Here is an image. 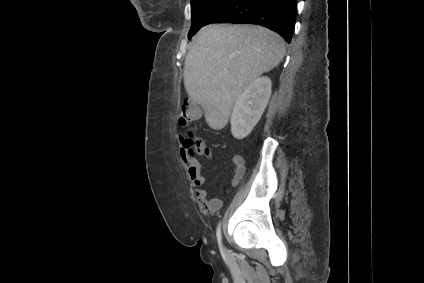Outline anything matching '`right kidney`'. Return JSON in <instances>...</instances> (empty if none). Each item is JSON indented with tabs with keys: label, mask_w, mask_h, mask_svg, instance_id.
Instances as JSON below:
<instances>
[{
	"label": "right kidney",
	"mask_w": 424,
	"mask_h": 283,
	"mask_svg": "<svg viewBox=\"0 0 424 283\" xmlns=\"http://www.w3.org/2000/svg\"><path fill=\"white\" fill-rule=\"evenodd\" d=\"M271 85L268 77H259L239 95L230 121L234 138L247 137L259 122L271 96Z\"/></svg>",
	"instance_id": "obj_1"
}]
</instances>
